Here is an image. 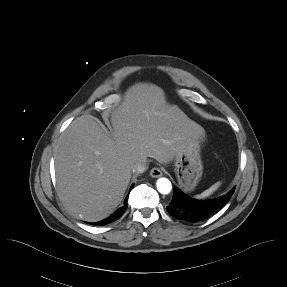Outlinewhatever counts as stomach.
Returning a JSON list of instances; mask_svg holds the SVG:
<instances>
[{"label": "stomach", "mask_w": 287, "mask_h": 287, "mask_svg": "<svg viewBox=\"0 0 287 287\" xmlns=\"http://www.w3.org/2000/svg\"><path fill=\"white\" fill-rule=\"evenodd\" d=\"M200 153L199 138L194 133L188 132L174 158V170L178 183L187 192L193 191L201 179L203 165Z\"/></svg>", "instance_id": "obj_1"}]
</instances>
